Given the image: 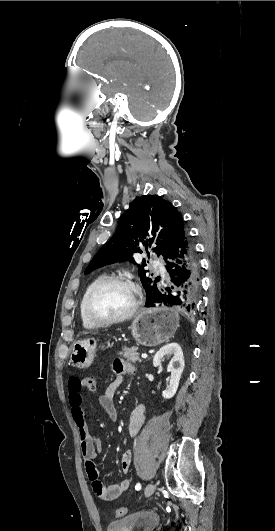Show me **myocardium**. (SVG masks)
<instances>
[{
  "mask_svg": "<svg viewBox=\"0 0 275 531\" xmlns=\"http://www.w3.org/2000/svg\"><path fill=\"white\" fill-rule=\"evenodd\" d=\"M117 282H121V283H125L129 285L134 292V300H133L132 306L129 309V311L125 313L124 315H121L115 318L104 319V318H98V317L93 316L89 310V304L93 296L105 285H108L111 283H117ZM140 298H141L140 289L138 288L137 285H135V283L131 280V278L128 275L106 276L100 279L97 283H95L91 287V289L88 291V293L86 294L84 301H83V305H82V313L87 321H89L90 323L96 326H104V325H112V324L120 323V322L130 319L135 314L136 310L138 309L139 303H140Z\"/></svg>",
  "mask_w": 275,
  "mask_h": 531,
  "instance_id": "myocardium-1",
  "label": "myocardium"
}]
</instances>
